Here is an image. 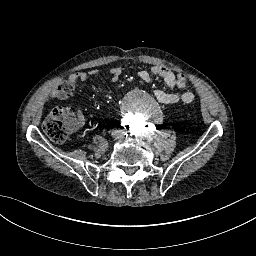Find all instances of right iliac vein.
<instances>
[{
  "instance_id": "1",
  "label": "right iliac vein",
  "mask_w": 256,
  "mask_h": 256,
  "mask_svg": "<svg viewBox=\"0 0 256 256\" xmlns=\"http://www.w3.org/2000/svg\"><path fill=\"white\" fill-rule=\"evenodd\" d=\"M112 137H114V138H117L119 135H118V133H116V132H113L112 134Z\"/></svg>"
}]
</instances>
